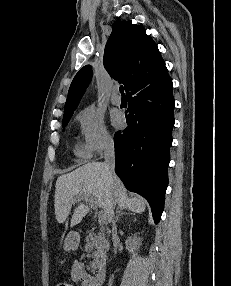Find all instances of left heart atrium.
<instances>
[{"label": "left heart atrium", "instance_id": "39dd6f15", "mask_svg": "<svg viewBox=\"0 0 231 286\" xmlns=\"http://www.w3.org/2000/svg\"><path fill=\"white\" fill-rule=\"evenodd\" d=\"M112 121L116 127H119L122 124V117L120 115H115Z\"/></svg>", "mask_w": 231, "mask_h": 286}]
</instances>
